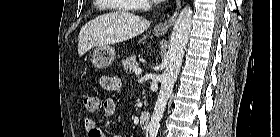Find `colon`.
<instances>
[{
	"instance_id": "colon-1",
	"label": "colon",
	"mask_w": 280,
	"mask_h": 137,
	"mask_svg": "<svg viewBox=\"0 0 280 137\" xmlns=\"http://www.w3.org/2000/svg\"><path fill=\"white\" fill-rule=\"evenodd\" d=\"M82 105L89 113H95L98 110L99 102L95 96L85 95L82 97Z\"/></svg>"
}]
</instances>
